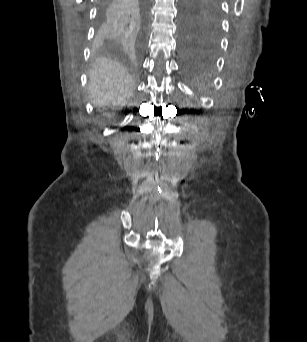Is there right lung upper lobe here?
<instances>
[{"label": "right lung upper lobe", "mask_w": 307, "mask_h": 342, "mask_svg": "<svg viewBox=\"0 0 307 342\" xmlns=\"http://www.w3.org/2000/svg\"><path fill=\"white\" fill-rule=\"evenodd\" d=\"M146 10L147 0H104V32L113 35L128 26L134 31L140 29L144 23Z\"/></svg>", "instance_id": "right-lung-upper-lobe-1"}]
</instances>
